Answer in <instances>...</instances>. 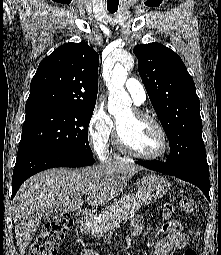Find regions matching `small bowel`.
<instances>
[{"label":"small bowel","mask_w":221,"mask_h":255,"mask_svg":"<svg viewBox=\"0 0 221 255\" xmlns=\"http://www.w3.org/2000/svg\"><path fill=\"white\" fill-rule=\"evenodd\" d=\"M144 225L143 218L136 216L132 220L130 233L132 236H139ZM150 246L154 249L153 255H173L174 252L183 250L189 244V237L184 233L181 224L177 221L166 223L162 227L160 235L149 240ZM81 255H100L94 249H85Z\"/></svg>","instance_id":"c3829d8e"}]
</instances>
